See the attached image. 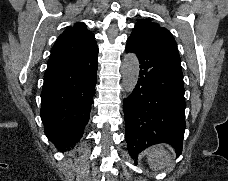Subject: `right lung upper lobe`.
Masks as SVG:
<instances>
[{"label":"right lung upper lobe","instance_id":"cb5924a9","mask_svg":"<svg viewBox=\"0 0 228 181\" xmlns=\"http://www.w3.org/2000/svg\"><path fill=\"white\" fill-rule=\"evenodd\" d=\"M94 35L86 29L84 23L68 27L53 46L48 63L61 61L96 48Z\"/></svg>","mask_w":228,"mask_h":181}]
</instances>
